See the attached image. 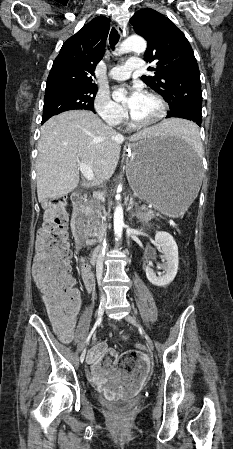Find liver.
<instances>
[{"instance_id": "obj_1", "label": "liver", "mask_w": 233, "mask_h": 449, "mask_svg": "<svg viewBox=\"0 0 233 449\" xmlns=\"http://www.w3.org/2000/svg\"><path fill=\"white\" fill-rule=\"evenodd\" d=\"M182 120L167 119L129 137L137 141L150 135H174ZM125 138L86 110L66 111L50 118L41 129L36 160V183L39 202L59 198L79 184L78 162L91 165L94 179L81 186L110 179Z\"/></svg>"}]
</instances>
